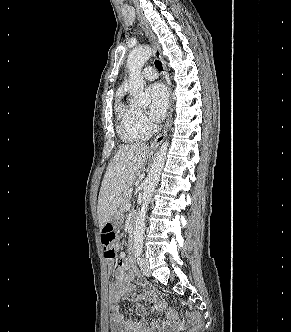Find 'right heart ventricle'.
Instances as JSON below:
<instances>
[{
  "label": "right heart ventricle",
  "instance_id": "obj_1",
  "mask_svg": "<svg viewBox=\"0 0 291 332\" xmlns=\"http://www.w3.org/2000/svg\"><path fill=\"white\" fill-rule=\"evenodd\" d=\"M117 115V131L120 138L125 142H137L147 138L148 131L140 128L137 124L138 109L122 99L115 103Z\"/></svg>",
  "mask_w": 291,
  "mask_h": 332
}]
</instances>
